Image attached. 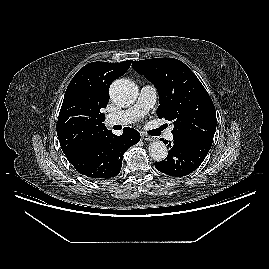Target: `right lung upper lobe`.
<instances>
[{
  "label": "right lung upper lobe",
  "instance_id": "1",
  "mask_svg": "<svg viewBox=\"0 0 269 269\" xmlns=\"http://www.w3.org/2000/svg\"><path fill=\"white\" fill-rule=\"evenodd\" d=\"M131 63L92 62L75 74L66 89L56 126L66 157L110 132L103 123L102 109L109 102L111 83L124 75Z\"/></svg>",
  "mask_w": 269,
  "mask_h": 269
}]
</instances>
